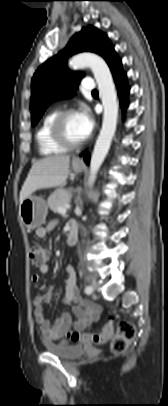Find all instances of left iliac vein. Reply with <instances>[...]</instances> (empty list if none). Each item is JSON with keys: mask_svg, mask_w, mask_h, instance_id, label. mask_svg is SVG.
I'll return each mask as SVG.
<instances>
[{"mask_svg": "<svg viewBox=\"0 0 168 406\" xmlns=\"http://www.w3.org/2000/svg\"><path fill=\"white\" fill-rule=\"evenodd\" d=\"M92 287L95 289V288L97 287V284H96V283H93V284H92Z\"/></svg>", "mask_w": 168, "mask_h": 406, "instance_id": "left-iliac-vein-1", "label": "left iliac vein"}]
</instances>
